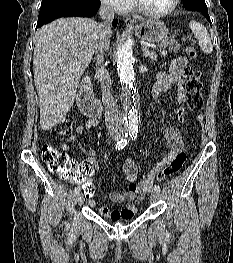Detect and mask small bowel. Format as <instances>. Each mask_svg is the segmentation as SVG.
<instances>
[{
	"label": "small bowel",
	"instance_id": "small-bowel-1",
	"mask_svg": "<svg viewBox=\"0 0 233 263\" xmlns=\"http://www.w3.org/2000/svg\"><path fill=\"white\" fill-rule=\"evenodd\" d=\"M188 63V60L184 56H179L175 58L171 65L169 72L160 71L157 73V80L152 89V97L157 99L161 94L170 91L171 89L176 90L175 103L176 116L179 121H183L184 117V103L186 101V90H185V80L183 78V71ZM96 125L94 119L89 120L83 125H78L75 129V133L68 135L61 149L63 151H70V143H77L80 149L87 155H92L93 150L87 147L84 143L80 141V137L85 135L90 128ZM164 137L166 139L167 147L169 152L162 159V161L148 174L147 178L142 181H137L138 176V166L131 159H125L122 163V170L126 181L129 183L128 190L122 192H110L108 194L109 199L114 203L126 204L123 209H110L107 206H99L97 202L91 199L92 195H84L89 199V205L94 207L96 211L110 219L111 221H118L120 219H131L137 212V204L142 200L145 195L152 188L154 180H151V175L155 170L161 169L171 162L174 157L183 152L184 148V135L175 127H168L164 131ZM94 171L98 170L97 162L92 158H87L77 165L75 171ZM84 184V183H80Z\"/></svg>",
	"mask_w": 233,
	"mask_h": 263
}]
</instances>
